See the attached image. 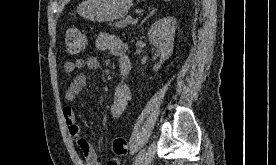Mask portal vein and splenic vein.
<instances>
[{
    "mask_svg": "<svg viewBox=\"0 0 276 165\" xmlns=\"http://www.w3.org/2000/svg\"><path fill=\"white\" fill-rule=\"evenodd\" d=\"M138 22V19L136 18V19H131V21H130V23H132V24H136Z\"/></svg>",
    "mask_w": 276,
    "mask_h": 165,
    "instance_id": "18ae733b",
    "label": "portal vein and splenic vein"
}]
</instances>
